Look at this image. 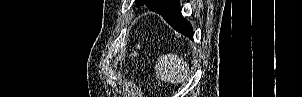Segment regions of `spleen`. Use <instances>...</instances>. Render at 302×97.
<instances>
[{"instance_id":"3e777b00","label":"spleen","mask_w":302,"mask_h":97,"mask_svg":"<svg viewBox=\"0 0 302 97\" xmlns=\"http://www.w3.org/2000/svg\"><path fill=\"white\" fill-rule=\"evenodd\" d=\"M156 77L163 81L181 83L187 78L189 65L177 55L168 54L161 57L156 66Z\"/></svg>"}]
</instances>
